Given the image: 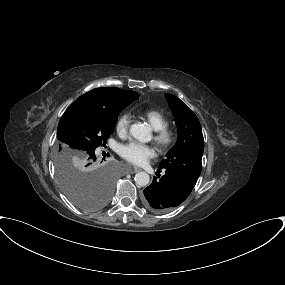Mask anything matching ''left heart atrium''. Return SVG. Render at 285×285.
Returning <instances> with one entry per match:
<instances>
[{"label": "left heart atrium", "instance_id": "left-heart-atrium-1", "mask_svg": "<svg viewBox=\"0 0 285 285\" xmlns=\"http://www.w3.org/2000/svg\"><path fill=\"white\" fill-rule=\"evenodd\" d=\"M121 156L133 165L142 166L155 156V151L149 145L133 142L121 148Z\"/></svg>", "mask_w": 285, "mask_h": 285}]
</instances>
